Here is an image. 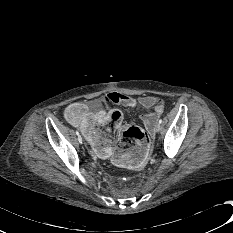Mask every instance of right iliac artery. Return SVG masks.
I'll return each instance as SVG.
<instances>
[{"label": "right iliac artery", "mask_w": 233, "mask_h": 233, "mask_svg": "<svg viewBox=\"0 0 233 233\" xmlns=\"http://www.w3.org/2000/svg\"><path fill=\"white\" fill-rule=\"evenodd\" d=\"M76 134H77L78 136H80V134H79V132H78V131H76Z\"/></svg>", "instance_id": "right-iliac-artery-1"}]
</instances>
